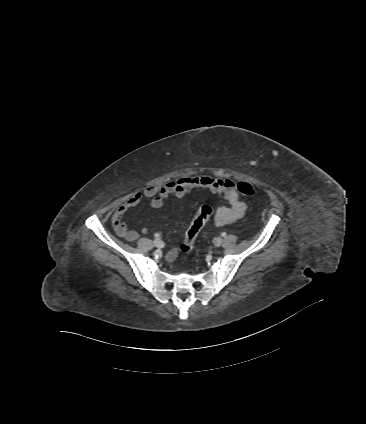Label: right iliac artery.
<instances>
[{
    "instance_id": "1",
    "label": "right iliac artery",
    "mask_w": 366,
    "mask_h": 424,
    "mask_svg": "<svg viewBox=\"0 0 366 424\" xmlns=\"http://www.w3.org/2000/svg\"><path fill=\"white\" fill-rule=\"evenodd\" d=\"M155 237H159V234H157V233H156V234H155Z\"/></svg>"
}]
</instances>
